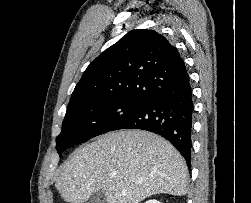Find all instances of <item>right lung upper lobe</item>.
<instances>
[{
    "mask_svg": "<svg viewBox=\"0 0 251 203\" xmlns=\"http://www.w3.org/2000/svg\"><path fill=\"white\" fill-rule=\"evenodd\" d=\"M187 74L177 49L163 35L134 30L90 63L69 105L97 100L145 103Z\"/></svg>",
    "mask_w": 251,
    "mask_h": 203,
    "instance_id": "obj_1",
    "label": "right lung upper lobe"
}]
</instances>
